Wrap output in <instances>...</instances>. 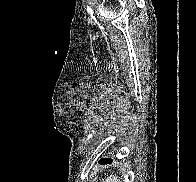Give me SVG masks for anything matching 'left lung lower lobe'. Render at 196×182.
<instances>
[{
	"label": "left lung lower lobe",
	"mask_w": 196,
	"mask_h": 182,
	"mask_svg": "<svg viewBox=\"0 0 196 182\" xmlns=\"http://www.w3.org/2000/svg\"><path fill=\"white\" fill-rule=\"evenodd\" d=\"M112 160L111 159H101L99 162L100 163H110Z\"/></svg>",
	"instance_id": "1"
}]
</instances>
